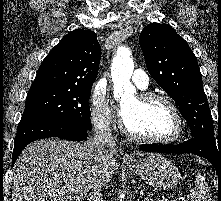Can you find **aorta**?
<instances>
[{"mask_svg": "<svg viewBox=\"0 0 221 201\" xmlns=\"http://www.w3.org/2000/svg\"><path fill=\"white\" fill-rule=\"evenodd\" d=\"M131 52L126 47H121L113 60L111 67V76L114 82V97H123L130 93L133 86L130 78L133 73L134 65L131 59Z\"/></svg>", "mask_w": 221, "mask_h": 201, "instance_id": "aorta-1", "label": "aorta"}]
</instances>
